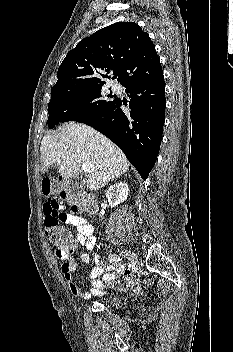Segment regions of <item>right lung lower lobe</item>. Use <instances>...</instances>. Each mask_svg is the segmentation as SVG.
<instances>
[{
    "label": "right lung lower lobe",
    "mask_w": 233,
    "mask_h": 352,
    "mask_svg": "<svg viewBox=\"0 0 233 352\" xmlns=\"http://www.w3.org/2000/svg\"><path fill=\"white\" fill-rule=\"evenodd\" d=\"M124 87L130 98V112H123L122 101L115 98L104 109L77 122L95 128L119 146L145 180L162 140L166 105L163 71Z\"/></svg>",
    "instance_id": "obj_1"
}]
</instances>
